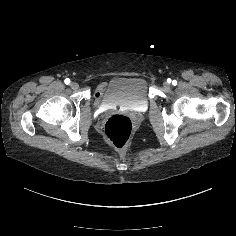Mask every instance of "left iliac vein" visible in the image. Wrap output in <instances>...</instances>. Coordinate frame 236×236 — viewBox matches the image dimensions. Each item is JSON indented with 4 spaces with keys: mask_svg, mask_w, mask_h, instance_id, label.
<instances>
[{
    "mask_svg": "<svg viewBox=\"0 0 236 236\" xmlns=\"http://www.w3.org/2000/svg\"><path fill=\"white\" fill-rule=\"evenodd\" d=\"M163 87H164L165 89H169V88L171 87V85H170L168 82H164V83H163Z\"/></svg>",
    "mask_w": 236,
    "mask_h": 236,
    "instance_id": "4c4485c4",
    "label": "left iliac vein"
}]
</instances>
